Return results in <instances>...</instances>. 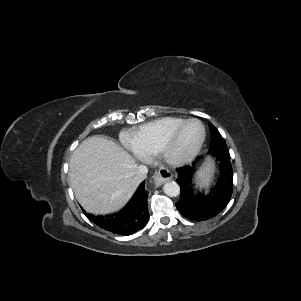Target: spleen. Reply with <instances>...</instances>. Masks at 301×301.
<instances>
[{"mask_svg":"<svg viewBox=\"0 0 301 301\" xmlns=\"http://www.w3.org/2000/svg\"><path fill=\"white\" fill-rule=\"evenodd\" d=\"M212 172H213L212 162L207 161L205 163L204 167L198 173V179L200 180V183L202 185H207L208 184V180L211 177Z\"/></svg>","mask_w":301,"mask_h":301,"instance_id":"spleen-1","label":"spleen"}]
</instances>
